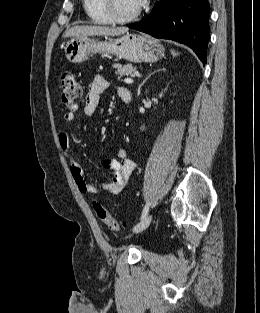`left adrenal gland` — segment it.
I'll return each mask as SVG.
<instances>
[{
	"label": "left adrenal gland",
	"instance_id": "1",
	"mask_svg": "<svg viewBox=\"0 0 260 313\" xmlns=\"http://www.w3.org/2000/svg\"><path fill=\"white\" fill-rule=\"evenodd\" d=\"M164 71L165 69H159V70H156L154 71L153 73H151L150 75H148V77H146L143 82L139 85L138 89H137V95L139 96L140 95V91H141V87L144 85V83L151 77V75H153L154 73L158 72V71Z\"/></svg>",
	"mask_w": 260,
	"mask_h": 313
}]
</instances>
